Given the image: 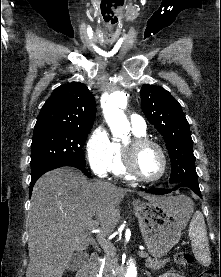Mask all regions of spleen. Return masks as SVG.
<instances>
[{"label": "spleen", "mask_w": 221, "mask_h": 277, "mask_svg": "<svg viewBox=\"0 0 221 277\" xmlns=\"http://www.w3.org/2000/svg\"><path fill=\"white\" fill-rule=\"evenodd\" d=\"M192 212V209H191ZM192 251L199 262L209 265L211 262L207 230L201 212H196L189 224Z\"/></svg>", "instance_id": "obj_1"}]
</instances>
